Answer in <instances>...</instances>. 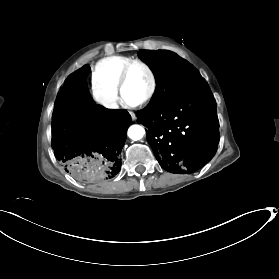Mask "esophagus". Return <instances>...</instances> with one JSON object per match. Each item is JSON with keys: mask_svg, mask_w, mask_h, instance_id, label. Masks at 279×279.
<instances>
[{"mask_svg": "<svg viewBox=\"0 0 279 279\" xmlns=\"http://www.w3.org/2000/svg\"><path fill=\"white\" fill-rule=\"evenodd\" d=\"M130 115L132 117V119L134 120L136 117H135V114L133 112H130Z\"/></svg>", "mask_w": 279, "mask_h": 279, "instance_id": "obj_1", "label": "esophagus"}]
</instances>
